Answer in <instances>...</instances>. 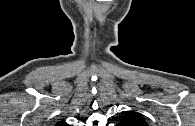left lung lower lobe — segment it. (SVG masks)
Returning a JSON list of instances; mask_svg holds the SVG:
<instances>
[{
  "instance_id": "left-lung-lower-lobe-1",
  "label": "left lung lower lobe",
  "mask_w": 195,
  "mask_h": 126,
  "mask_svg": "<svg viewBox=\"0 0 195 126\" xmlns=\"http://www.w3.org/2000/svg\"><path fill=\"white\" fill-rule=\"evenodd\" d=\"M116 126H123V125L119 123V124H117Z\"/></svg>"
}]
</instances>
